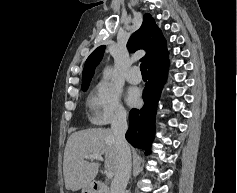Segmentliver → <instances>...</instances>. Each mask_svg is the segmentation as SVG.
Instances as JSON below:
<instances>
[{
    "label": "liver",
    "instance_id": "1",
    "mask_svg": "<svg viewBox=\"0 0 237 193\" xmlns=\"http://www.w3.org/2000/svg\"><path fill=\"white\" fill-rule=\"evenodd\" d=\"M92 154L104 155L105 169L115 174L119 164V155L111 129L89 128L70 135L63 160L67 190L75 192L92 184L99 171V163L93 161L95 159L85 160L86 155Z\"/></svg>",
    "mask_w": 237,
    "mask_h": 193
}]
</instances>
